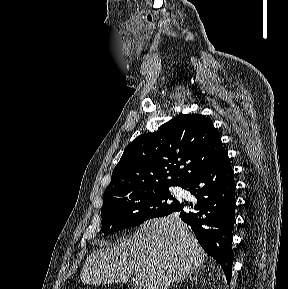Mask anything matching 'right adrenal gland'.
Instances as JSON below:
<instances>
[{"instance_id":"2a0ac1e0","label":"right adrenal gland","mask_w":288,"mask_h":289,"mask_svg":"<svg viewBox=\"0 0 288 289\" xmlns=\"http://www.w3.org/2000/svg\"><path fill=\"white\" fill-rule=\"evenodd\" d=\"M188 276H185V277H183L182 279H180V280H178L177 282H176V284H175V286L174 287H177V284L179 283V282H182L184 279H186ZM189 278H192L191 277V274H189Z\"/></svg>"}]
</instances>
